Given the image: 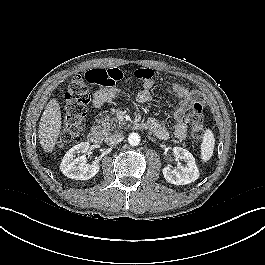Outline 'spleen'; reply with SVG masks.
I'll return each instance as SVG.
<instances>
[{
    "mask_svg": "<svg viewBox=\"0 0 265 265\" xmlns=\"http://www.w3.org/2000/svg\"><path fill=\"white\" fill-rule=\"evenodd\" d=\"M214 145H215L214 134L210 129H206L201 144L202 161L207 162L211 158L214 150Z\"/></svg>",
    "mask_w": 265,
    "mask_h": 265,
    "instance_id": "3e777b00",
    "label": "spleen"
}]
</instances>
